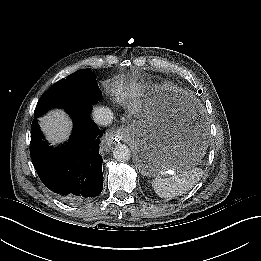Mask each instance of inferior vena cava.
<instances>
[{"label":"inferior vena cava","mask_w":261,"mask_h":261,"mask_svg":"<svg viewBox=\"0 0 261 261\" xmlns=\"http://www.w3.org/2000/svg\"><path fill=\"white\" fill-rule=\"evenodd\" d=\"M93 120L100 126H107L113 120V113L109 108L97 107L93 111Z\"/></svg>","instance_id":"inferior-vena-cava-1"}]
</instances>
